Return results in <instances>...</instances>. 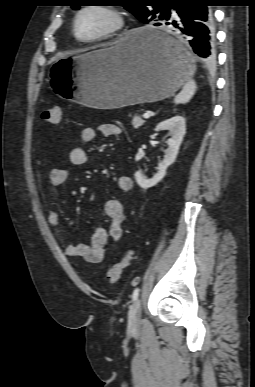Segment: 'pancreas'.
Instances as JSON below:
<instances>
[{
	"label": "pancreas",
	"mask_w": 255,
	"mask_h": 387,
	"mask_svg": "<svg viewBox=\"0 0 255 387\" xmlns=\"http://www.w3.org/2000/svg\"><path fill=\"white\" fill-rule=\"evenodd\" d=\"M144 120L139 117V116H134L132 118V126L135 128V129H138L139 127H141L143 124H144Z\"/></svg>",
	"instance_id": "obj_1"
}]
</instances>
